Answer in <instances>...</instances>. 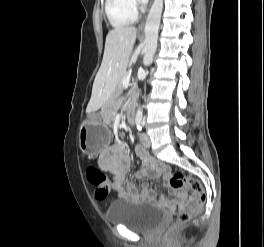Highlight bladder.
<instances>
[{
    "label": "bladder",
    "mask_w": 264,
    "mask_h": 247,
    "mask_svg": "<svg viewBox=\"0 0 264 247\" xmlns=\"http://www.w3.org/2000/svg\"><path fill=\"white\" fill-rule=\"evenodd\" d=\"M166 212L156 205L121 200L110 204L106 219L111 224H122L140 233H151L166 221Z\"/></svg>",
    "instance_id": "1"
}]
</instances>
